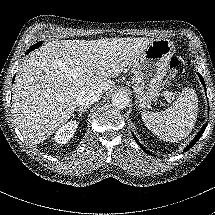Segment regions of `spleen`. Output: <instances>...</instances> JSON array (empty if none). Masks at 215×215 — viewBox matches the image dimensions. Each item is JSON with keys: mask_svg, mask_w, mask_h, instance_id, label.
I'll list each match as a JSON object with an SVG mask.
<instances>
[{"mask_svg": "<svg viewBox=\"0 0 215 215\" xmlns=\"http://www.w3.org/2000/svg\"><path fill=\"white\" fill-rule=\"evenodd\" d=\"M197 96L185 87L177 99L160 112H141L145 126L158 138L176 142L184 139L192 130L198 111Z\"/></svg>", "mask_w": 215, "mask_h": 215, "instance_id": "spleen-1", "label": "spleen"}]
</instances>
